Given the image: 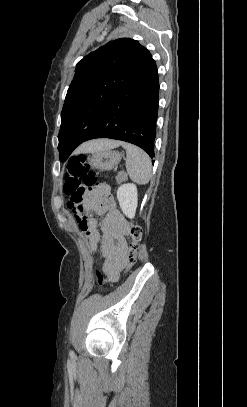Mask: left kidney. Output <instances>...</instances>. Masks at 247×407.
Instances as JSON below:
<instances>
[{
    "label": "left kidney",
    "mask_w": 247,
    "mask_h": 407,
    "mask_svg": "<svg viewBox=\"0 0 247 407\" xmlns=\"http://www.w3.org/2000/svg\"><path fill=\"white\" fill-rule=\"evenodd\" d=\"M117 199L122 212L128 218H134L138 204V192L136 185L132 183L121 185L117 190Z\"/></svg>",
    "instance_id": "left-kidney-1"
}]
</instances>
